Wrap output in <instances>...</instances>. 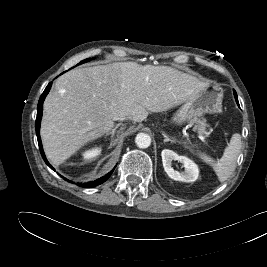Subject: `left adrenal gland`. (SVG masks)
<instances>
[{
  "label": "left adrenal gland",
  "instance_id": "obj_1",
  "mask_svg": "<svg viewBox=\"0 0 267 267\" xmlns=\"http://www.w3.org/2000/svg\"><path fill=\"white\" fill-rule=\"evenodd\" d=\"M162 135H163V137L165 138L164 139V142H172V143H176V142H178L176 139H171V138H169L166 134H165V132H162Z\"/></svg>",
  "mask_w": 267,
  "mask_h": 267
}]
</instances>
